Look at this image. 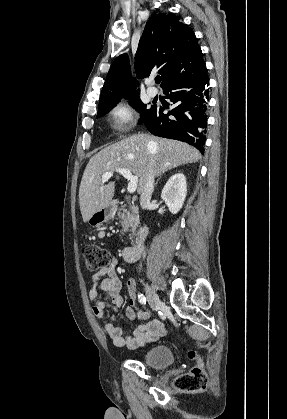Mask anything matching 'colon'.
<instances>
[{
	"instance_id": "colon-1",
	"label": "colon",
	"mask_w": 287,
	"mask_h": 419,
	"mask_svg": "<svg viewBox=\"0 0 287 419\" xmlns=\"http://www.w3.org/2000/svg\"><path fill=\"white\" fill-rule=\"evenodd\" d=\"M83 257L85 268L89 272H94L107 267L110 263V253L106 249L95 244L86 245L83 248ZM191 359H196L197 363L192 369L178 376L174 383L178 389L186 391H198L205 388L207 384V376L200 359L197 358L195 352L188 353Z\"/></svg>"
}]
</instances>
